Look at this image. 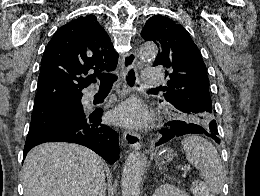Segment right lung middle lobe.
I'll return each instance as SVG.
<instances>
[{"instance_id":"obj_1","label":"right lung middle lobe","mask_w":260,"mask_h":196,"mask_svg":"<svg viewBox=\"0 0 260 196\" xmlns=\"http://www.w3.org/2000/svg\"><path fill=\"white\" fill-rule=\"evenodd\" d=\"M81 96L34 106L28 134L56 125L67 124L87 117Z\"/></svg>"}]
</instances>
